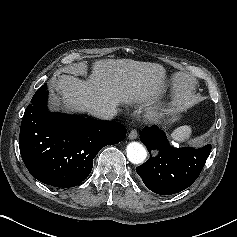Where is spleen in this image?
<instances>
[{
	"mask_svg": "<svg viewBox=\"0 0 237 237\" xmlns=\"http://www.w3.org/2000/svg\"><path fill=\"white\" fill-rule=\"evenodd\" d=\"M192 129L190 126H180L176 128L172 134H171V139L173 144L183 143L187 141L191 135Z\"/></svg>",
	"mask_w": 237,
	"mask_h": 237,
	"instance_id": "3e777b00",
	"label": "spleen"
}]
</instances>
